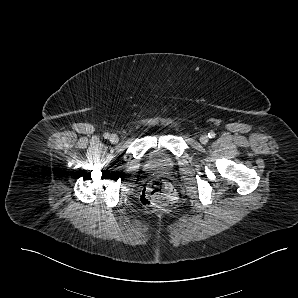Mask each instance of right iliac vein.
I'll use <instances>...</instances> for the list:
<instances>
[{"label": "right iliac vein", "mask_w": 298, "mask_h": 298, "mask_svg": "<svg viewBox=\"0 0 298 298\" xmlns=\"http://www.w3.org/2000/svg\"><path fill=\"white\" fill-rule=\"evenodd\" d=\"M109 139H110V142L113 144H116L119 141V137L116 134H112Z\"/></svg>", "instance_id": "obj_1"}]
</instances>
